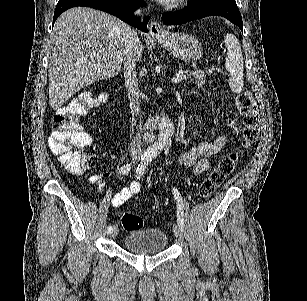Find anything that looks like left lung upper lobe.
<instances>
[{
  "label": "left lung upper lobe",
  "instance_id": "1",
  "mask_svg": "<svg viewBox=\"0 0 307 301\" xmlns=\"http://www.w3.org/2000/svg\"><path fill=\"white\" fill-rule=\"evenodd\" d=\"M209 1H212V0H190L189 5H196V4H200V3H204V2H209ZM221 1H225V2H228V3L236 4L235 0H221Z\"/></svg>",
  "mask_w": 307,
  "mask_h": 301
}]
</instances>
